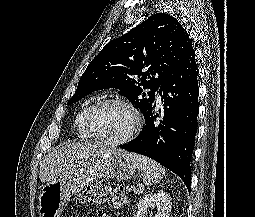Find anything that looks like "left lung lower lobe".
<instances>
[{
  "instance_id": "left-lung-lower-lobe-1",
  "label": "left lung lower lobe",
  "mask_w": 255,
  "mask_h": 217,
  "mask_svg": "<svg viewBox=\"0 0 255 217\" xmlns=\"http://www.w3.org/2000/svg\"><path fill=\"white\" fill-rule=\"evenodd\" d=\"M198 73L192 48L159 86V94L164 103V116L160 123H156L159 114L153 115L152 105L145 117L146 127L129 144L120 146L157 161L178 175L188 189L191 184L190 161L199 113Z\"/></svg>"
}]
</instances>
